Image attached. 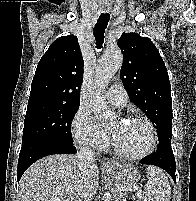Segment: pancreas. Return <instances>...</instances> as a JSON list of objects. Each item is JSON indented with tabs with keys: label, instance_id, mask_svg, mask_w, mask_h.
<instances>
[{
	"label": "pancreas",
	"instance_id": "pancreas-1",
	"mask_svg": "<svg viewBox=\"0 0 196 201\" xmlns=\"http://www.w3.org/2000/svg\"><path fill=\"white\" fill-rule=\"evenodd\" d=\"M117 201H126V196L125 194H121L118 198Z\"/></svg>",
	"mask_w": 196,
	"mask_h": 201
}]
</instances>
